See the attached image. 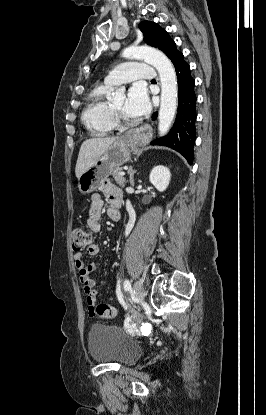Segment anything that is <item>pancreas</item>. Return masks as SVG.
<instances>
[{"instance_id":"obj_1","label":"pancreas","mask_w":266,"mask_h":415,"mask_svg":"<svg viewBox=\"0 0 266 415\" xmlns=\"http://www.w3.org/2000/svg\"><path fill=\"white\" fill-rule=\"evenodd\" d=\"M122 172V168L117 167L112 171V176L114 181L121 187H124L126 184L124 176L120 175Z\"/></svg>"}]
</instances>
